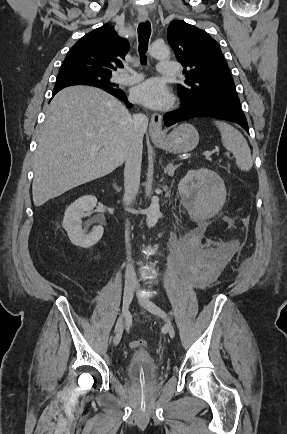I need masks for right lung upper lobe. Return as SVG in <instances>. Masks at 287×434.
Wrapping results in <instances>:
<instances>
[{
	"instance_id": "right-lung-upper-lobe-1",
	"label": "right lung upper lobe",
	"mask_w": 287,
	"mask_h": 434,
	"mask_svg": "<svg viewBox=\"0 0 287 434\" xmlns=\"http://www.w3.org/2000/svg\"><path fill=\"white\" fill-rule=\"evenodd\" d=\"M129 48V42L119 37L113 27L102 26L82 37L71 48L61 70H86L112 75L117 68L123 67L122 61ZM78 84L58 83L54 90Z\"/></svg>"
}]
</instances>
